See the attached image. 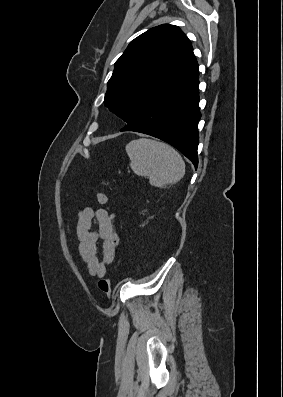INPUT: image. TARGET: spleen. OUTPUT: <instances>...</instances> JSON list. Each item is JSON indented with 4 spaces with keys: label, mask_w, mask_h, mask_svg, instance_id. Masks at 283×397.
Returning a JSON list of instances; mask_svg holds the SVG:
<instances>
[{
    "label": "spleen",
    "mask_w": 283,
    "mask_h": 397,
    "mask_svg": "<svg viewBox=\"0 0 283 397\" xmlns=\"http://www.w3.org/2000/svg\"><path fill=\"white\" fill-rule=\"evenodd\" d=\"M130 167L138 176L149 177L155 187L166 188L176 184L185 174V162L170 145L139 138L126 145Z\"/></svg>",
    "instance_id": "1"
}]
</instances>
